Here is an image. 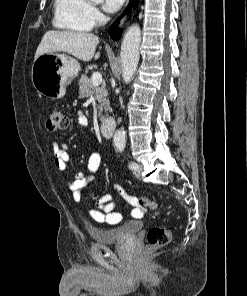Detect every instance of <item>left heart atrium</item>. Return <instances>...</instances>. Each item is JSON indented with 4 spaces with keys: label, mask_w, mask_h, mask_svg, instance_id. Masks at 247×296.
Masks as SVG:
<instances>
[{
    "label": "left heart atrium",
    "mask_w": 247,
    "mask_h": 296,
    "mask_svg": "<svg viewBox=\"0 0 247 296\" xmlns=\"http://www.w3.org/2000/svg\"><path fill=\"white\" fill-rule=\"evenodd\" d=\"M125 0H103V8L107 12H115L117 11Z\"/></svg>",
    "instance_id": "obj_1"
}]
</instances>
